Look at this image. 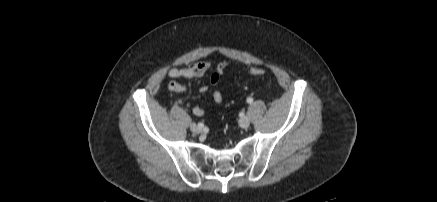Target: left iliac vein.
<instances>
[{
	"label": "left iliac vein",
	"instance_id": "left-iliac-vein-1",
	"mask_svg": "<svg viewBox=\"0 0 437 202\" xmlns=\"http://www.w3.org/2000/svg\"><path fill=\"white\" fill-rule=\"evenodd\" d=\"M249 125H250V120H249L248 117L244 116V117H242V118L239 119V126H240L241 128L246 129V128L249 127Z\"/></svg>",
	"mask_w": 437,
	"mask_h": 202
}]
</instances>
